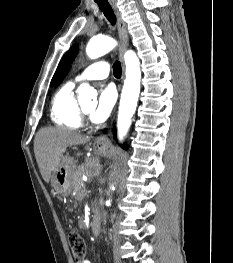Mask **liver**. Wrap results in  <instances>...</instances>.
Returning a JSON list of instances; mask_svg holds the SVG:
<instances>
[{
  "label": "liver",
  "mask_w": 233,
  "mask_h": 263,
  "mask_svg": "<svg viewBox=\"0 0 233 263\" xmlns=\"http://www.w3.org/2000/svg\"><path fill=\"white\" fill-rule=\"evenodd\" d=\"M89 136H84L65 128H42L34 140V153L43 180L48 183L60 163L66 148L86 144Z\"/></svg>",
  "instance_id": "1"
}]
</instances>
